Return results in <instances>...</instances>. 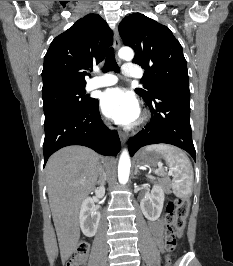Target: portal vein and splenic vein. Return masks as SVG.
Listing matches in <instances>:
<instances>
[{
	"label": "portal vein and splenic vein",
	"instance_id": "portal-vein-and-splenic-vein-1",
	"mask_svg": "<svg viewBox=\"0 0 233 266\" xmlns=\"http://www.w3.org/2000/svg\"><path fill=\"white\" fill-rule=\"evenodd\" d=\"M171 174V173H170ZM148 178L150 179H155V177L151 176V175H148Z\"/></svg>",
	"mask_w": 233,
	"mask_h": 266
}]
</instances>
